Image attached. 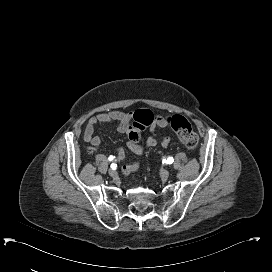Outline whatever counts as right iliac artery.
I'll return each instance as SVG.
<instances>
[{"label":"right iliac artery","mask_w":272,"mask_h":272,"mask_svg":"<svg viewBox=\"0 0 272 272\" xmlns=\"http://www.w3.org/2000/svg\"><path fill=\"white\" fill-rule=\"evenodd\" d=\"M114 156H110L109 158H108V160L109 161H112V160H114ZM111 168L113 169V170H115L116 169V165L115 164H111Z\"/></svg>","instance_id":"obj_1"}]
</instances>
